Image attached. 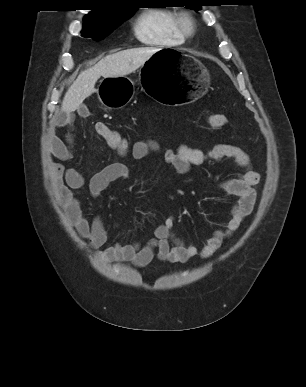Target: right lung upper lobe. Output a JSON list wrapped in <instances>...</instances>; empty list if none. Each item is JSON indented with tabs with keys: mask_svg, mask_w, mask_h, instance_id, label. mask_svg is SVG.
Instances as JSON below:
<instances>
[{
	"mask_svg": "<svg viewBox=\"0 0 306 387\" xmlns=\"http://www.w3.org/2000/svg\"><path fill=\"white\" fill-rule=\"evenodd\" d=\"M127 8L129 7L113 6V7L95 9L84 17V21H98V22L107 21L117 16L121 11Z\"/></svg>",
	"mask_w": 306,
	"mask_h": 387,
	"instance_id": "cb5924a9",
	"label": "right lung upper lobe"
}]
</instances>
